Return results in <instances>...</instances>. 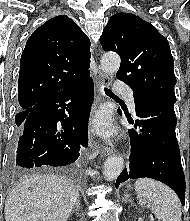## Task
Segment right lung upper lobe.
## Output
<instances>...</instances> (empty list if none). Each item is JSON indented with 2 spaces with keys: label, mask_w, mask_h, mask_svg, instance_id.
Returning <instances> with one entry per match:
<instances>
[{
  "label": "right lung upper lobe",
  "mask_w": 190,
  "mask_h": 221,
  "mask_svg": "<svg viewBox=\"0 0 190 221\" xmlns=\"http://www.w3.org/2000/svg\"><path fill=\"white\" fill-rule=\"evenodd\" d=\"M90 40L68 16H56L29 37L20 60L18 99L24 112L43 98L90 78Z\"/></svg>",
  "instance_id": "right-lung-upper-lobe-1"
}]
</instances>
